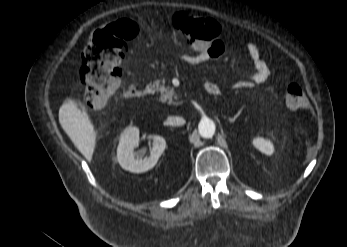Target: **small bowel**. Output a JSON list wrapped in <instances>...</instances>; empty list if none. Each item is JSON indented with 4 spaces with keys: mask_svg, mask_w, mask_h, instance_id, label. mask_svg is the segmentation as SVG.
I'll use <instances>...</instances> for the list:
<instances>
[{
    "mask_svg": "<svg viewBox=\"0 0 347 247\" xmlns=\"http://www.w3.org/2000/svg\"><path fill=\"white\" fill-rule=\"evenodd\" d=\"M226 47L225 41L217 38L203 49H194L195 51L192 54H182L181 59L183 62L189 65H199L221 58L226 52ZM246 49L255 71L249 79L236 81L233 84L236 89L252 88L255 85L264 83L270 76V69L265 60L262 58L259 47L255 43L249 42L246 45ZM205 89L207 91L209 90L215 92L214 95L220 93L219 86L212 81L205 82Z\"/></svg>",
    "mask_w": 347,
    "mask_h": 247,
    "instance_id": "1",
    "label": "small bowel"
}]
</instances>
